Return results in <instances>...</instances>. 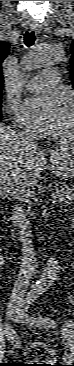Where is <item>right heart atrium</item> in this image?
<instances>
[{
  "mask_svg": "<svg viewBox=\"0 0 74 366\" xmlns=\"http://www.w3.org/2000/svg\"><path fill=\"white\" fill-rule=\"evenodd\" d=\"M8 112L19 128L28 129V125L23 121L22 117L17 115V105L15 103H9Z\"/></svg>",
  "mask_w": 74,
  "mask_h": 366,
  "instance_id": "obj_1",
  "label": "right heart atrium"
}]
</instances>
